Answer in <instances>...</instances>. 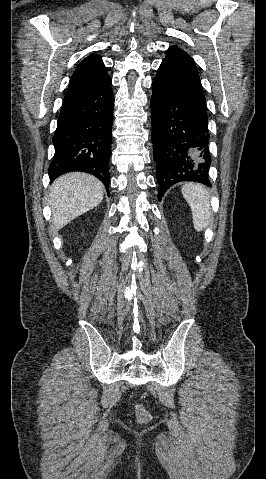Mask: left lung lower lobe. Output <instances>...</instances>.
I'll list each match as a JSON object with an SVG mask.
<instances>
[{"instance_id": "obj_1", "label": "left lung lower lobe", "mask_w": 266, "mask_h": 479, "mask_svg": "<svg viewBox=\"0 0 266 479\" xmlns=\"http://www.w3.org/2000/svg\"><path fill=\"white\" fill-rule=\"evenodd\" d=\"M151 123L158 200L181 181L211 186L207 107L200 79L162 61L152 82Z\"/></svg>"}]
</instances>
